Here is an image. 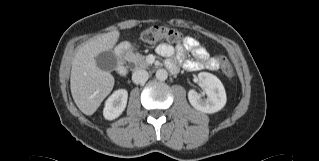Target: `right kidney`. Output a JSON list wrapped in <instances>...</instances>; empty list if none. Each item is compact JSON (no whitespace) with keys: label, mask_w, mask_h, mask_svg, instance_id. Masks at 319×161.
I'll return each instance as SVG.
<instances>
[{"label":"right kidney","mask_w":319,"mask_h":161,"mask_svg":"<svg viewBox=\"0 0 319 161\" xmlns=\"http://www.w3.org/2000/svg\"><path fill=\"white\" fill-rule=\"evenodd\" d=\"M128 99V92L125 89H118L108 97L103 110L104 118L114 120L125 110Z\"/></svg>","instance_id":"right-kidney-1"}]
</instances>
